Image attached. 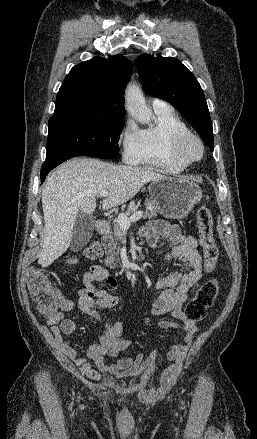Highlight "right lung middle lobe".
I'll return each instance as SVG.
<instances>
[{"mask_svg": "<svg viewBox=\"0 0 257 439\" xmlns=\"http://www.w3.org/2000/svg\"><path fill=\"white\" fill-rule=\"evenodd\" d=\"M125 114L75 111L49 119L46 161L63 157L113 158Z\"/></svg>", "mask_w": 257, "mask_h": 439, "instance_id": "right-lung-middle-lobe-1", "label": "right lung middle lobe"}]
</instances>
